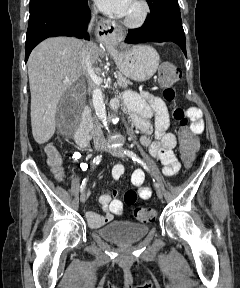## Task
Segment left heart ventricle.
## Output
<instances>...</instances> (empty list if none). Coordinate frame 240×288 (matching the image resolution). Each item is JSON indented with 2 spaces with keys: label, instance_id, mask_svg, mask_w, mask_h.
Wrapping results in <instances>:
<instances>
[{
  "label": "left heart ventricle",
  "instance_id": "obj_1",
  "mask_svg": "<svg viewBox=\"0 0 240 288\" xmlns=\"http://www.w3.org/2000/svg\"><path fill=\"white\" fill-rule=\"evenodd\" d=\"M140 12H141L140 5L136 2V0H133L129 7L128 13L126 14V17L135 18L140 14Z\"/></svg>",
  "mask_w": 240,
  "mask_h": 288
}]
</instances>
